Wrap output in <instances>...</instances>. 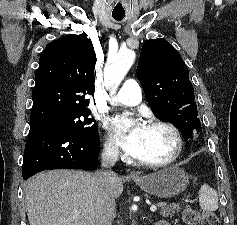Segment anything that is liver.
Instances as JSON below:
<instances>
[{
    "label": "liver",
    "mask_w": 237,
    "mask_h": 225,
    "mask_svg": "<svg viewBox=\"0 0 237 225\" xmlns=\"http://www.w3.org/2000/svg\"><path fill=\"white\" fill-rule=\"evenodd\" d=\"M95 174L75 170H51L33 177L25 189L30 225H95ZM114 198L123 192L117 178Z\"/></svg>",
    "instance_id": "6515ba94"
}]
</instances>
